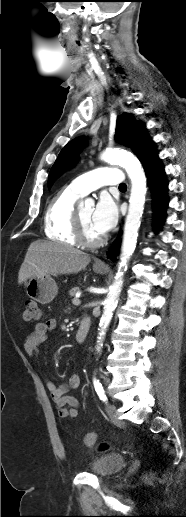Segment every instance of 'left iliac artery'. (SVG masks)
<instances>
[{
  "label": "left iliac artery",
  "instance_id": "44dca946",
  "mask_svg": "<svg viewBox=\"0 0 186 517\" xmlns=\"http://www.w3.org/2000/svg\"><path fill=\"white\" fill-rule=\"evenodd\" d=\"M93 384H94L95 391L97 392L100 400H102L103 402H107V397L105 395V391L103 389V386L99 382V380L96 379L95 377L93 378Z\"/></svg>",
  "mask_w": 186,
  "mask_h": 517
}]
</instances>
